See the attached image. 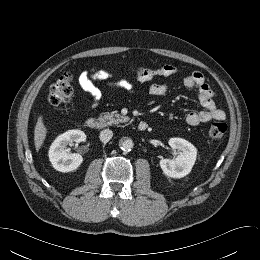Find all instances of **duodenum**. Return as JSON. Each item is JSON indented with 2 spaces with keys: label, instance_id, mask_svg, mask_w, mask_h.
Listing matches in <instances>:
<instances>
[{
  "label": "duodenum",
  "instance_id": "1",
  "mask_svg": "<svg viewBox=\"0 0 260 260\" xmlns=\"http://www.w3.org/2000/svg\"><path fill=\"white\" fill-rule=\"evenodd\" d=\"M86 126L90 129L101 130L104 129L107 124L104 120L98 118H89L86 120ZM137 128L139 131H145L148 128V124L145 121L138 123Z\"/></svg>",
  "mask_w": 260,
  "mask_h": 260
}]
</instances>
